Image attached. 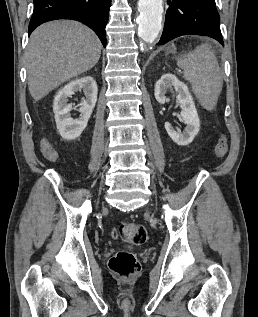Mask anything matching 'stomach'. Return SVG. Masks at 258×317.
Segmentation results:
<instances>
[{
    "label": "stomach",
    "mask_w": 258,
    "mask_h": 317,
    "mask_svg": "<svg viewBox=\"0 0 258 317\" xmlns=\"http://www.w3.org/2000/svg\"><path fill=\"white\" fill-rule=\"evenodd\" d=\"M167 52H171V50H167Z\"/></svg>",
    "instance_id": "0dacf381"
}]
</instances>
